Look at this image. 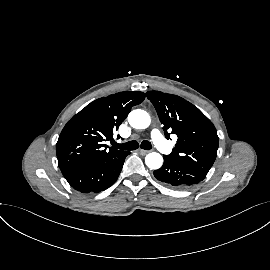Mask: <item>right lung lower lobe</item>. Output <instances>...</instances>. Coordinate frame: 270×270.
Listing matches in <instances>:
<instances>
[{"instance_id": "98d812e1", "label": "right lung lower lobe", "mask_w": 270, "mask_h": 270, "mask_svg": "<svg viewBox=\"0 0 270 270\" xmlns=\"http://www.w3.org/2000/svg\"><path fill=\"white\" fill-rule=\"evenodd\" d=\"M122 152L105 160L71 169L63 173L68 183L82 193H98L112 186L117 180L126 156Z\"/></svg>"}]
</instances>
